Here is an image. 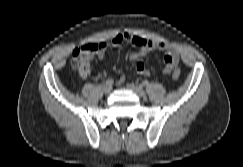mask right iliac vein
<instances>
[{
	"label": "right iliac vein",
	"instance_id": "1",
	"mask_svg": "<svg viewBox=\"0 0 243 167\" xmlns=\"http://www.w3.org/2000/svg\"><path fill=\"white\" fill-rule=\"evenodd\" d=\"M102 90H103V92H104L105 94H109V93L111 92V90H112V86L105 84V85L102 87Z\"/></svg>",
	"mask_w": 243,
	"mask_h": 167
}]
</instances>
